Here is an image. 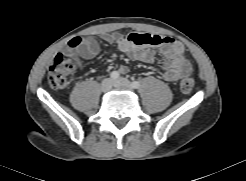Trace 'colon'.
<instances>
[{
    "instance_id": "5ec220e1",
    "label": "colon",
    "mask_w": 246,
    "mask_h": 181,
    "mask_svg": "<svg viewBox=\"0 0 246 181\" xmlns=\"http://www.w3.org/2000/svg\"><path fill=\"white\" fill-rule=\"evenodd\" d=\"M138 42L145 45H158L162 42V38L157 35L144 34L139 37ZM80 43L81 39L76 37L70 42V45L75 47ZM73 70L74 62L63 54H57L48 70L47 81L49 85L56 89L65 88L70 82ZM179 87L182 92L189 93L194 87V81L187 75L182 76Z\"/></svg>"
}]
</instances>
